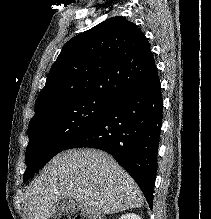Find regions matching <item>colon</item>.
Masks as SVG:
<instances>
[{"mask_svg": "<svg viewBox=\"0 0 211 219\" xmlns=\"http://www.w3.org/2000/svg\"><path fill=\"white\" fill-rule=\"evenodd\" d=\"M59 219H105L104 217L101 216H92V215H83V216H62Z\"/></svg>", "mask_w": 211, "mask_h": 219, "instance_id": "obj_1", "label": "colon"}]
</instances>
